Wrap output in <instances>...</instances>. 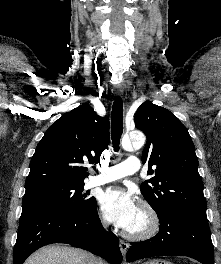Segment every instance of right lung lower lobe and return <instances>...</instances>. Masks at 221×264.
Wrapping results in <instances>:
<instances>
[{"mask_svg":"<svg viewBox=\"0 0 221 264\" xmlns=\"http://www.w3.org/2000/svg\"><path fill=\"white\" fill-rule=\"evenodd\" d=\"M52 243H67L88 250L112 264L122 262L119 239L102 227L96 203L79 212L22 210L13 263L23 264L35 250Z\"/></svg>","mask_w":221,"mask_h":264,"instance_id":"obj_1","label":"right lung lower lobe"}]
</instances>
